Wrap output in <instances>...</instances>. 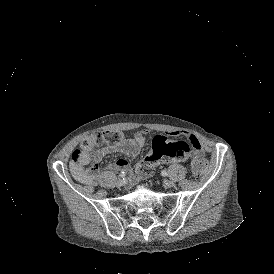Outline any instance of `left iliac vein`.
Returning <instances> with one entry per match:
<instances>
[{
	"mask_svg": "<svg viewBox=\"0 0 274 274\" xmlns=\"http://www.w3.org/2000/svg\"><path fill=\"white\" fill-rule=\"evenodd\" d=\"M164 184H165L166 187H173L174 186V181L165 180Z\"/></svg>",
	"mask_w": 274,
	"mask_h": 274,
	"instance_id": "4c4485c4",
	"label": "left iliac vein"
}]
</instances>
